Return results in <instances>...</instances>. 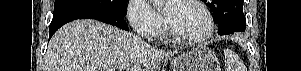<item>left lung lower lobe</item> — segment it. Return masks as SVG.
Returning <instances> with one entry per match:
<instances>
[{
  "instance_id": "1",
  "label": "left lung lower lobe",
  "mask_w": 301,
  "mask_h": 71,
  "mask_svg": "<svg viewBox=\"0 0 301 71\" xmlns=\"http://www.w3.org/2000/svg\"><path fill=\"white\" fill-rule=\"evenodd\" d=\"M215 22L218 24V34L221 36L245 31L246 28L245 15L241 11L226 13L223 18Z\"/></svg>"
}]
</instances>
